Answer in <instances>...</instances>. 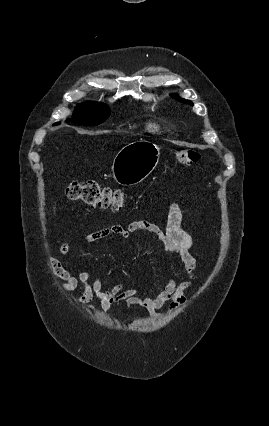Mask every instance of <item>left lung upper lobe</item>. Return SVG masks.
Here are the masks:
<instances>
[{"label": "left lung upper lobe", "mask_w": 269, "mask_h": 426, "mask_svg": "<svg viewBox=\"0 0 269 426\" xmlns=\"http://www.w3.org/2000/svg\"><path fill=\"white\" fill-rule=\"evenodd\" d=\"M173 98H175V99H177V100H179V101H181V102H184V103H188V104H190V105H193V103L191 102V101H189V100H185V99H182V98H180L177 94H173V95H171Z\"/></svg>", "instance_id": "5c2ea615"}]
</instances>
